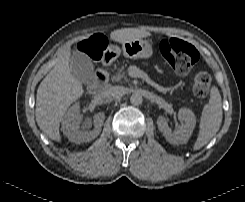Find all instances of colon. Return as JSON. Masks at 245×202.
<instances>
[{
    "instance_id": "5ec220e1",
    "label": "colon",
    "mask_w": 245,
    "mask_h": 202,
    "mask_svg": "<svg viewBox=\"0 0 245 202\" xmlns=\"http://www.w3.org/2000/svg\"><path fill=\"white\" fill-rule=\"evenodd\" d=\"M106 47V41L103 35L95 34L89 38L79 41L75 45L79 56L96 60L100 57ZM159 52L165 62L177 74H186L198 62V50L176 38L162 39L159 43ZM212 76L208 71H199L193 77V91L199 97H205L210 89Z\"/></svg>"
}]
</instances>
